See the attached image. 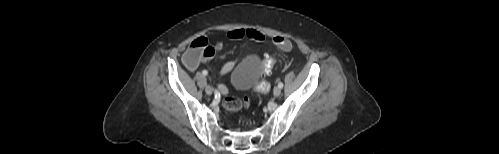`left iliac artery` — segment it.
I'll list each match as a JSON object with an SVG mask.
<instances>
[{
  "instance_id": "44dca946",
  "label": "left iliac artery",
  "mask_w": 499,
  "mask_h": 154,
  "mask_svg": "<svg viewBox=\"0 0 499 154\" xmlns=\"http://www.w3.org/2000/svg\"><path fill=\"white\" fill-rule=\"evenodd\" d=\"M278 87L283 88V83H282V82H279V83H278Z\"/></svg>"
}]
</instances>
